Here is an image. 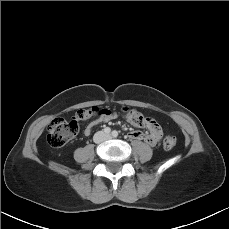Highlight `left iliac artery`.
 <instances>
[{
  "label": "left iliac artery",
  "instance_id": "obj_1",
  "mask_svg": "<svg viewBox=\"0 0 229 229\" xmlns=\"http://www.w3.org/2000/svg\"><path fill=\"white\" fill-rule=\"evenodd\" d=\"M112 136H113V137H117V136H118V132H117L116 130H114V131L112 132Z\"/></svg>",
  "mask_w": 229,
  "mask_h": 229
}]
</instances>
